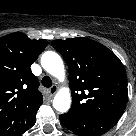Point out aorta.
<instances>
[{
    "mask_svg": "<svg viewBox=\"0 0 136 136\" xmlns=\"http://www.w3.org/2000/svg\"><path fill=\"white\" fill-rule=\"evenodd\" d=\"M41 65L45 71L52 76L63 79L65 76L64 64L61 57L53 52L47 51L41 56ZM71 105V95L67 88H62L57 92L53 100V107L61 113L69 110Z\"/></svg>",
    "mask_w": 136,
    "mask_h": 136,
    "instance_id": "obj_1",
    "label": "aorta"
}]
</instances>
